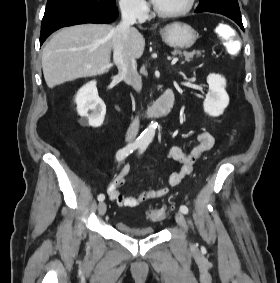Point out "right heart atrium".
I'll list each match as a JSON object with an SVG mask.
<instances>
[{
    "mask_svg": "<svg viewBox=\"0 0 280 283\" xmlns=\"http://www.w3.org/2000/svg\"><path fill=\"white\" fill-rule=\"evenodd\" d=\"M121 11L135 18H142L148 11V5L144 0H119Z\"/></svg>",
    "mask_w": 280,
    "mask_h": 283,
    "instance_id": "1",
    "label": "right heart atrium"
}]
</instances>
